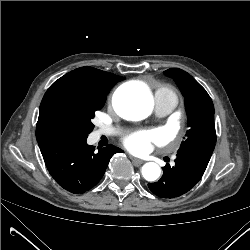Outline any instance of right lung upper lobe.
Returning a JSON list of instances; mask_svg holds the SVG:
<instances>
[{
  "mask_svg": "<svg viewBox=\"0 0 250 250\" xmlns=\"http://www.w3.org/2000/svg\"><path fill=\"white\" fill-rule=\"evenodd\" d=\"M123 77L92 67L75 69L56 80L46 91L40 104L36 126L37 141L68 133L62 113V101L69 92L95 94L113 87Z\"/></svg>",
  "mask_w": 250,
  "mask_h": 250,
  "instance_id": "1",
  "label": "right lung upper lobe"
}]
</instances>
